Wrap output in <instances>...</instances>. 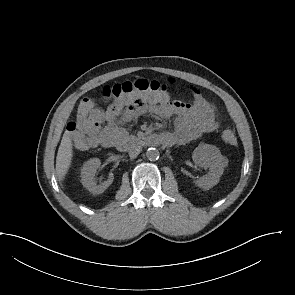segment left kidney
Segmentation results:
<instances>
[{
	"mask_svg": "<svg viewBox=\"0 0 295 295\" xmlns=\"http://www.w3.org/2000/svg\"><path fill=\"white\" fill-rule=\"evenodd\" d=\"M192 159L198 166L209 168V173L195 181V184L205 190L217 185L227 165V160L220 150L213 145L200 144L195 148Z\"/></svg>",
	"mask_w": 295,
	"mask_h": 295,
	"instance_id": "obj_1",
	"label": "left kidney"
}]
</instances>
